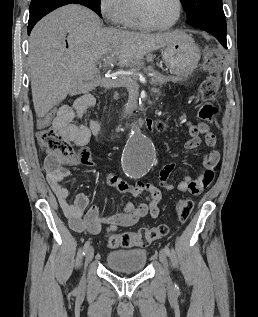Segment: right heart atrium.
Instances as JSON below:
<instances>
[{
	"label": "right heart atrium",
	"instance_id": "d8ad5b80",
	"mask_svg": "<svg viewBox=\"0 0 258 317\" xmlns=\"http://www.w3.org/2000/svg\"><path fill=\"white\" fill-rule=\"evenodd\" d=\"M99 11L107 26L124 25V0H100Z\"/></svg>",
	"mask_w": 258,
	"mask_h": 317
}]
</instances>
